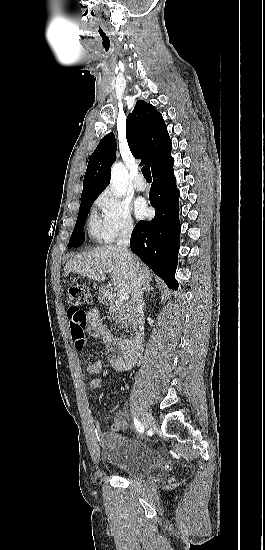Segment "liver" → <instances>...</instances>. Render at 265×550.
Here are the masks:
<instances>
[{
    "label": "liver",
    "mask_w": 265,
    "mask_h": 550,
    "mask_svg": "<svg viewBox=\"0 0 265 550\" xmlns=\"http://www.w3.org/2000/svg\"><path fill=\"white\" fill-rule=\"evenodd\" d=\"M140 285L149 283L152 279L149 268L135 255H132ZM78 273L95 281L101 282L106 274H111L112 283L118 291L132 292V277L129 264L122 251L116 245H104L92 251L75 255L67 261L64 276ZM104 276V277H103Z\"/></svg>",
    "instance_id": "1"
}]
</instances>
